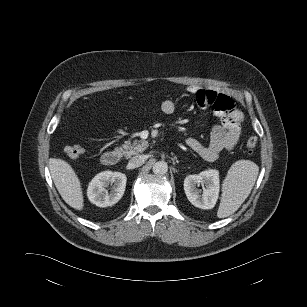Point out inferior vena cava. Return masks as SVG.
<instances>
[{
	"label": "inferior vena cava",
	"instance_id": "1",
	"mask_svg": "<svg viewBox=\"0 0 307 307\" xmlns=\"http://www.w3.org/2000/svg\"><path fill=\"white\" fill-rule=\"evenodd\" d=\"M145 162V156L144 155H137L132 157L128 162L129 168H137L144 164Z\"/></svg>",
	"mask_w": 307,
	"mask_h": 307
}]
</instances>
